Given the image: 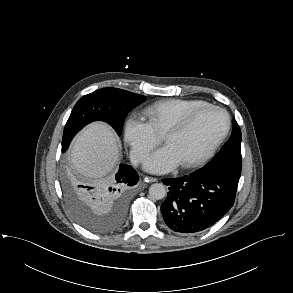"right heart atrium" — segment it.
<instances>
[{"mask_svg": "<svg viewBox=\"0 0 293 293\" xmlns=\"http://www.w3.org/2000/svg\"><path fill=\"white\" fill-rule=\"evenodd\" d=\"M123 136L135 163L141 162L161 141V137L150 123L137 114H131L126 118Z\"/></svg>", "mask_w": 293, "mask_h": 293, "instance_id": "d8ad5b80", "label": "right heart atrium"}]
</instances>
